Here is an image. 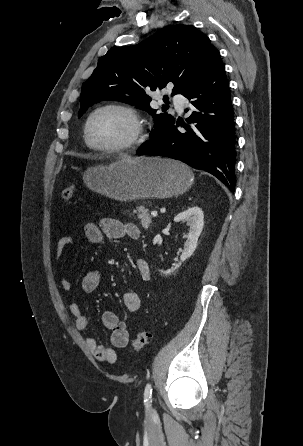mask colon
I'll return each mask as SVG.
<instances>
[{
	"mask_svg": "<svg viewBox=\"0 0 303 446\" xmlns=\"http://www.w3.org/2000/svg\"><path fill=\"white\" fill-rule=\"evenodd\" d=\"M74 193H75L74 186L68 184L64 186V188L62 189L61 196L65 201H71L74 197ZM148 338L149 335L147 331L145 330L138 331L131 342L130 351L139 352L147 344Z\"/></svg>",
	"mask_w": 303,
	"mask_h": 446,
	"instance_id": "1",
	"label": "colon"
}]
</instances>
